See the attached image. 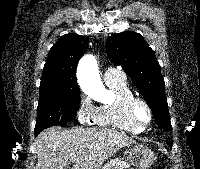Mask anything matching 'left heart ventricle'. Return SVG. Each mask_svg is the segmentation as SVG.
<instances>
[{
	"label": "left heart ventricle",
	"instance_id": "1",
	"mask_svg": "<svg viewBox=\"0 0 200 169\" xmlns=\"http://www.w3.org/2000/svg\"><path fill=\"white\" fill-rule=\"evenodd\" d=\"M137 117L142 122L145 123L148 120V112L143 106L137 108Z\"/></svg>",
	"mask_w": 200,
	"mask_h": 169
}]
</instances>
